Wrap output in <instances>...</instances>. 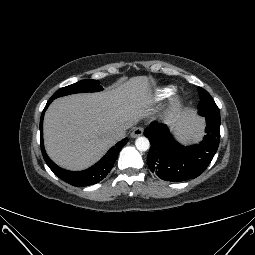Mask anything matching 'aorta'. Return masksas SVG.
<instances>
[{
    "mask_svg": "<svg viewBox=\"0 0 255 255\" xmlns=\"http://www.w3.org/2000/svg\"><path fill=\"white\" fill-rule=\"evenodd\" d=\"M135 146H136L137 150L144 152L150 148V142H149L148 138L141 136L136 139Z\"/></svg>",
    "mask_w": 255,
    "mask_h": 255,
    "instance_id": "762f6f07",
    "label": "aorta"
}]
</instances>
